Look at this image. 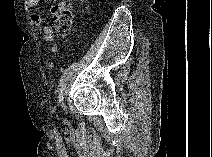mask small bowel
Listing matches in <instances>:
<instances>
[{"instance_id":"1","label":"small bowel","mask_w":212,"mask_h":157,"mask_svg":"<svg viewBox=\"0 0 212 157\" xmlns=\"http://www.w3.org/2000/svg\"><path fill=\"white\" fill-rule=\"evenodd\" d=\"M40 3V0H27L25 1V7L27 9H34L38 7ZM31 23L35 28H38L41 31L43 40L49 43V49L52 53L57 52L58 45L55 42L54 35H53V28L50 25H44L42 18L39 14H32L31 17ZM53 64L50 63L48 65V70H52Z\"/></svg>"}]
</instances>
